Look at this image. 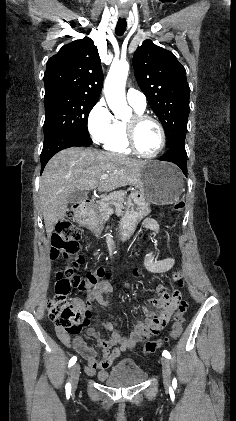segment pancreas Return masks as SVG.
Returning <instances> with one entry per match:
<instances>
[{
	"mask_svg": "<svg viewBox=\"0 0 236 421\" xmlns=\"http://www.w3.org/2000/svg\"><path fill=\"white\" fill-rule=\"evenodd\" d=\"M123 202V190H116V192H111L108 198L100 200V202H98L97 211L99 213V217H101V221H108L110 215H113V213H115V215H118V217H122Z\"/></svg>",
	"mask_w": 236,
	"mask_h": 421,
	"instance_id": "pancreas-1",
	"label": "pancreas"
}]
</instances>
